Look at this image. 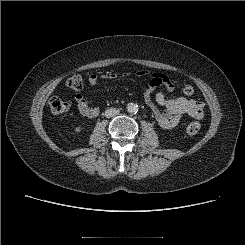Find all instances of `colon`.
I'll list each match as a JSON object with an SVG mask.
<instances>
[{"label": "colon", "instance_id": "colon-1", "mask_svg": "<svg viewBox=\"0 0 245 245\" xmlns=\"http://www.w3.org/2000/svg\"><path fill=\"white\" fill-rule=\"evenodd\" d=\"M67 86L74 91L81 90L83 87L82 77L78 74L71 76L67 80ZM181 91L185 96H191L194 93V88L189 84H185L182 86ZM49 107L54 115H61L67 112L68 103L59 97H53L49 101ZM200 128L201 124L198 121H194L187 126L186 133L193 136L199 132Z\"/></svg>", "mask_w": 245, "mask_h": 245}]
</instances>
